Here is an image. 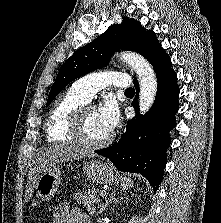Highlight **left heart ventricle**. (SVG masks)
<instances>
[{
    "label": "left heart ventricle",
    "instance_id": "obj_1",
    "mask_svg": "<svg viewBox=\"0 0 221 223\" xmlns=\"http://www.w3.org/2000/svg\"><path fill=\"white\" fill-rule=\"evenodd\" d=\"M109 135L110 133H108L102 126L97 115V111H87L84 118V138L90 142H98L105 139Z\"/></svg>",
    "mask_w": 221,
    "mask_h": 223
}]
</instances>
